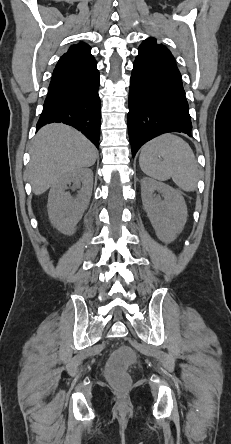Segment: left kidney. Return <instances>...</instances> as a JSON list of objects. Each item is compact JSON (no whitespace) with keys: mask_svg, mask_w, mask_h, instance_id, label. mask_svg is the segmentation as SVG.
Listing matches in <instances>:
<instances>
[{"mask_svg":"<svg viewBox=\"0 0 231 444\" xmlns=\"http://www.w3.org/2000/svg\"><path fill=\"white\" fill-rule=\"evenodd\" d=\"M141 197L157 237L167 243L174 241L187 221V206L180 192L165 183L145 177L141 181Z\"/></svg>","mask_w":231,"mask_h":444,"instance_id":"1","label":"left kidney"}]
</instances>
